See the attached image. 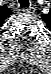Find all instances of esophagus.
I'll use <instances>...</instances> for the list:
<instances>
[{
	"label": "esophagus",
	"instance_id": "esophagus-1",
	"mask_svg": "<svg viewBox=\"0 0 51 74\" xmlns=\"http://www.w3.org/2000/svg\"><path fill=\"white\" fill-rule=\"evenodd\" d=\"M30 10V8H23L24 12H28Z\"/></svg>",
	"mask_w": 51,
	"mask_h": 74
}]
</instances>
